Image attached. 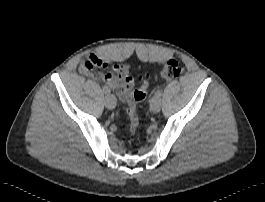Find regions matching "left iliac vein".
I'll return each instance as SVG.
<instances>
[{"mask_svg": "<svg viewBox=\"0 0 265 202\" xmlns=\"http://www.w3.org/2000/svg\"><path fill=\"white\" fill-rule=\"evenodd\" d=\"M150 108L152 112L158 113L161 109V100L160 98L154 96L150 102Z\"/></svg>", "mask_w": 265, "mask_h": 202, "instance_id": "1", "label": "left iliac vein"}]
</instances>
